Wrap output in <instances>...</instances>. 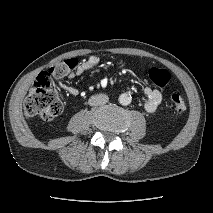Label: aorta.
<instances>
[{
  "label": "aorta",
  "mask_w": 213,
  "mask_h": 213,
  "mask_svg": "<svg viewBox=\"0 0 213 213\" xmlns=\"http://www.w3.org/2000/svg\"><path fill=\"white\" fill-rule=\"evenodd\" d=\"M119 103L123 106L129 105L132 101L131 96L127 93H123L119 96Z\"/></svg>",
  "instance_id": "762f6f07"
}]
</instances>
